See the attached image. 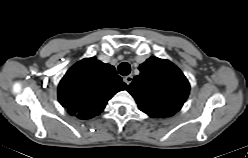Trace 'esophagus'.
Returning <instances> with one entry per match:
<instances>
[{"mask_svg":"<svg viewBox=\"0 0 248 158\" xmlns=\"http://www.w3.org/2000/svg\"><path fill=\"white\" fill-rule=\"evenodd\" d=\"M123 80H124V82H125L127 85H129V84L132 82V80H133V76H132V75H127V76H125V77L123 78Z\"/></svg>","mask_w":248,"mask_h":158,"instance_id":"34e87169","label":"esophagus"}]
</instances>
